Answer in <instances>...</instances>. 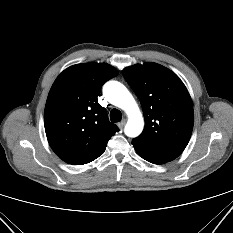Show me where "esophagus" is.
<instances>
[{
	"label": "esophagus",
	"instance_id": "obj_1",
	"mask_svg": "<svg viewBox=\"0 0 233 233\" xmlns=\"http://www.w3.org/2000/svg\"><path fill=\"white\" fill-rule=\"evenodd\" d=\"M126 124V120H122L121 122L118 123V127L122 129Z\"/></svg>",
	"mask_w": 233,
	"mask_h": 233
}]
</instances>
